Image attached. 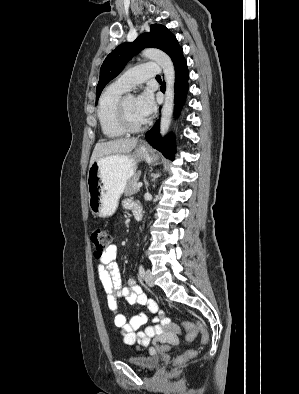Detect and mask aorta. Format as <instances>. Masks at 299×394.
<instances>
[{"mask_svg":"<svg viewBox=\"0 0 299 394\" xmlns=\"http://www.w3.org/2000/svg\"><path fill=\"white\" fill-rule=\"evenodd\" d=\"M142 56L154 60L163 70L164 80L166 83L165 98L161 112L160 133L164 136L171 123L173 106H174V84H175V68L171 58L159 49H145Z\"/></svg>","mask_w":299,"mask_h":394,"instance_id":"obj_1","label":"aorta"}]
</instances>
